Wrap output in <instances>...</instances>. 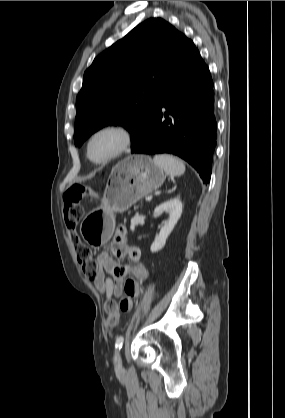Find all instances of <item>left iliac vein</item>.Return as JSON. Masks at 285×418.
Returning a JSON list of instances; mask_svg holds the SVG:
<instances>
[{
  "label": "left iliac vein",
  "mask_w": 285,
  "mask_h": 418,
  "mask_svg": "<svg viewBox=\"0 0 285 418\" xmlns=\"http://www.w3.org/2000/svg\"><path fill=\"white\" fill-rule=\"evenodd\" d=\"M114 367L116 371L122 370V359L120 351H117L114 356Z\"/></svg>",
  "instance_id": "1"
}]
</instances>
